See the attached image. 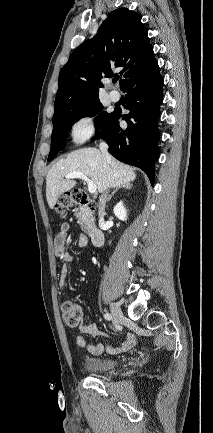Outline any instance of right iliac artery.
Instances as JSON below:
<instances>
[{
    "label": "right iliac artery",
    "instance_id": "82829eb1",
    "mask_svg": "<svg viewBox=\"0 0 213 433\" xmlns=\"http://www.w3.org/2000/svg\"><path fill=\"white\" fill-rule=\"evenodd\" d=\"M104 318L108 321H110L112 319V316L109 313H105L104 314Z\"/></svg>",
    "mask_w": 213,
    "mask_h": 433
}]
</instances>
